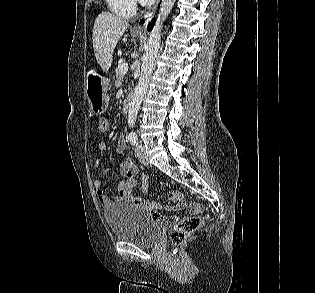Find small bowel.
<instances>
[{
    "label": "small bowel",
    "instance_id": "1",
    "mask_svg": "<svg viewBox=\"0 0 315 293\" xmlns=\"http://www.w3.org/2000/svg\"><path fill=\"white\" fill-rule=\"evenodd\" d=\"M99 150L101 152H105L107 150V144L105 142L100 143ZM126 150V141L123 136L118 139L117 142V151L119 153H124ZM101 160L97 159L95 161V167L98 168L101 166ZM138 174V167L134 163V161L130 157H126L121 164V179L117 186V193L114 198H109L103 187L102 182L99 178H94L93 185L98 197L100 204L103 207H108L113 203H120V202H129L133 203L136 206L146 208L153 214L151 218L153 220H160L161 218L156 214L157 210L161 208V206L156 202H147L141 198H137L133 194V189L137 184L136 176ZM142 191L145 193L149 192L148 185H147V178L143 179L142 183ZM166 210L170 211L171 215H178L179 207L178 206H166ZM179 218L177 216H173L171 218H163L161 219L163 222H175Z\"/></svg>",
    "mask_w": 315,
    "mask_h": 293
}]
</instances>
